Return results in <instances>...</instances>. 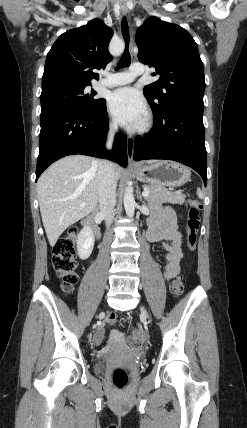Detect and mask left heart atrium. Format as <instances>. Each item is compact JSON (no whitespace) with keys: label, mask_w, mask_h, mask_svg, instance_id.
I'll return each instance as SVG.
<instances>
[{"label":"left heart atrium","mask_w":247,"mask_h":428,"mask_svg":"<svg viewBox=\"0 0 247 428\" xmlns=\"http://www.w3.org/2000/svg\"><path fill=\"white\" fill-rule=\"evenodd\" d=\"M109 109L119 123L132 128L141 127L147 116L142 97L129 87L118 89L111 94Z\"/></svg>","instance_id":"left-heart-atrium-1"}]
</instances>
